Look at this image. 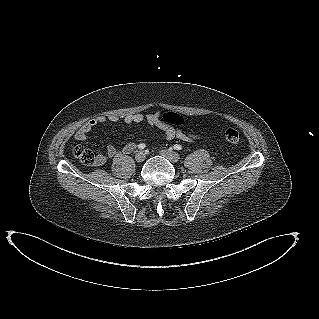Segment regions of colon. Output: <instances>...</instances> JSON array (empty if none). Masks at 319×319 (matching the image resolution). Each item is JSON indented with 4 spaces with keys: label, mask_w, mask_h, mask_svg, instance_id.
I'll use <instances>...</instances> for the list:
<instances>
[{
    "label": "colon",
    "mask_w": 319,
    "mask_h": 319,
    "mask_svg": "<svg viewBox=\"0 0 319 319\" xmlns=\"http://www.w3.org/2000/svg\"><path fill=\"white\" fill-rule=\"evenodd\" d=\"M161 119L170 126H180L183 123L182 116L175 112H167L162 115ZM224 137L230 143H237L240 140L239 132L231 127L225 129ZM72 153L84 165H92L95 163L96 157L93 152L82 145H74L72 147Z\"/></svg>",
    "instance_id": "5ec220e1"
}]
</instances>
